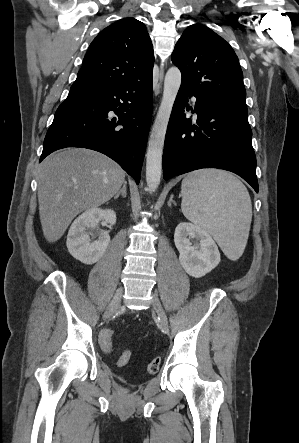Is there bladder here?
Instances as JSON below:
<instances>
[{"instance_id":"obj_1","label":"bladder","mask_w":299,"mask_h":443,"mask_svg":"<svg viewBox=\"0 0 299 443\" xmlns=\"http://www.w3.org/2000/svg\"><path fill=\"white\" fill-rule=\"evenodd\" d=\"M126 374H127V376H130V377L134 376V373L132 371H126Z\"/></svg>"}]
</instances>
